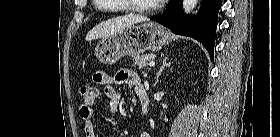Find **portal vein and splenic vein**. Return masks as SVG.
Returning a JSON list of instances; mask_svg holds the SVG:
<instances>
[{
    "mask_svg": "<svg viewBox=\"0 0 280 137\" xmlns=\"http://www.w3.org/2000/svg\"><path fill=\"white\" fill-rule=\"evenodd\" d=\"M148 65H149L150 67H153V66L155 65V62L151 61V62H149Z\"/></svg>",
    "mask_w": 280,
    "mask_h": 137,
    "instance_id": "1",
    "label": "portal vein and splenic vein"
}]
</instances>
